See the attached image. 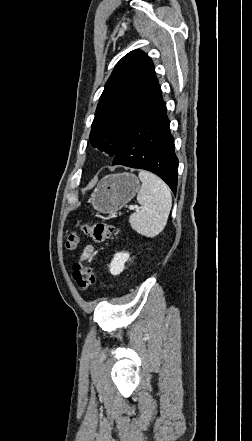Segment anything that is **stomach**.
Masks as SVG:
<instances>
[{
  "instance_id": "1",
  "label": "stomach",
  "mask_w": 252,
  "mask_h": 441,
  "mask_svg": "<svg viewBox=\"0 0 252 441\" xmlns=\"http://www.w3.org/2000/svg\"><path fill=\"white\" fill-rule=\"evenodd\" d=\"M138 178L130 173L105 176L89 199L95 210L104 214L117 212L138 192Z\"/></svg>"
}]
</instances>
